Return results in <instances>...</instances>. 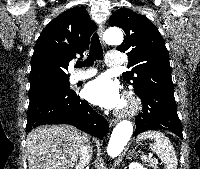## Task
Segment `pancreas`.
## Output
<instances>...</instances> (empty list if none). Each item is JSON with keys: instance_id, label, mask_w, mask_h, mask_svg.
Instances as JSON below:
<instances>
[{"instance_id": "pancreas-1", "label": "pancreas", "mask_w": 200, "mask_h": 169, "mask_svg": "<svg viewBox=\"0 0 200 169\" xmlns=\"http://www.w3.org/2000/svg\"><path fill=\"white\" fill-rule=\"evenodd\" d=\"M145 163L148 164L149 167H152L153 169H157L158 168V162L156 160L153 159H145L144 160Z\"/></svg>"}]
</instances>
